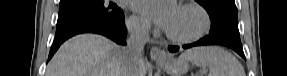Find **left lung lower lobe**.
<instances>
[{"mask_svg": "<svg viewBox=\"0 0 287 76\" xmlns=\"http://www.w3.org/2000/svg\"><path fill=\"white\" fill-rule=\"evenodd\" d=\"M201 45H223V46H227L229 48H232L234 51H236L240 56H242L245 59V55H244L241 43H232V42L224 41L222 39L214 38L210 35L205 36L204 38H202L201 40H199L195 43L184 45L183 48L188 49V48H191L194 46H201ZM168 49L170 52H177L179 50V46H169Z\"/></svg>", "mask_w": 287, "mask_h": 76, "instance_id": "obj_1", "label": "left lung lower lobe"}]
</instances>
